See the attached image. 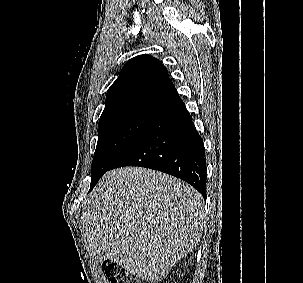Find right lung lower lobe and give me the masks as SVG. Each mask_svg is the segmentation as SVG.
I'll return each mask as SVG.
<instances>
[{
    "mask_svg": "<svg viewBox=\"0 0 303 283\" xmlns=\"http://www.w3.org/2000/svg\"><path fill=\"white\" fill-rule=\"evenodd\" d=\"M155 169L178 177L206 199V162L203 139L181 101L158 115L114 162Z\"/></svg>",
    "mask_w": 303,
    "mask_h": 283,
    "instance_id": "right-lung-lower-lobe-1",
    "label": "right lung lower lobe"
}]
</instances>
